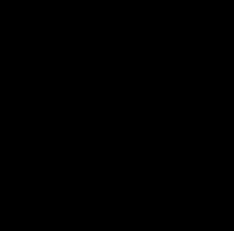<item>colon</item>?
I'll use <instances>...</instances> for the list:
<instances>
[{
  "label": "colon",
  "instance_id": "obj_1",
  "mask_svg": "<svg viewBox=\"0 0 234 231\" xmlns=\"http://www.w3.org/2000/svg\"><path fill=\"white\" fill-rule=\"evenodd\" d=\"M116 172L119 175L125 176L129 172V165L126 161H118L115 165Z\"/></svg>",
  "mask_w": 234,
  "mask_h": 231
}]
</instances>
